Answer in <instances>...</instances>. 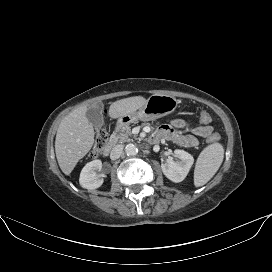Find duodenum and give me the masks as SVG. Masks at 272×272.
<instances>
[{"mask_svg": "<svg viewBox=\"0 0 272 272\" xmlns=\"http://www.w3.org/2000/svg\"><path fill=\"white\" fill-rule=\"evenodd\" d=\"M121 125H122V122L119 121V122L117 123V128L121 127ZM114 143H115V139H114V138H111L110 141L106 144V146H105L104 149H103V154H104L105 156H108V155H109V153L111 152V150H112V148H113V146H114Z\"/></svg>", "mask_w": 272, "mask_h": 272, "instance_id": "duodenum-1", "label": "duodenum"}]
</instances>
